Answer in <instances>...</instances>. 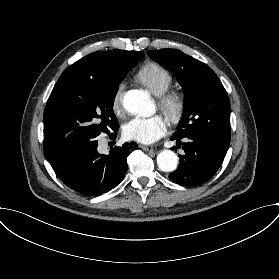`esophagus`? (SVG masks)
Masks as SVG:
<instances>
[{"instance_id": "obj_1", "label": "esophagus", "mask_w": 279, "mask_h": 279, "mask_svg": "<svg viewBox=\"0 0 279 279\" xmlns=\"http://www.w3.org/2000/svg\"><path fill=\"white\" fill-rule=\"evenodd\" d=\"M139 148H141L142 150H144L146 152H149V154H151V156H154L153 147L151 145L139 144Z\"/></svg>"}]
</instances>
